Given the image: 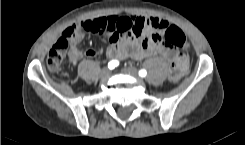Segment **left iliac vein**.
Instances as JSON below:
<instances>
[{
	"instance_id": "left-iliac-vein-1",
	"label": "left iliac vein",
	"mask_w": 245,
	"mask_h": 145,
	"mask_svg": "<svg viewBox=\"0 0 245 145\" xmlns=\"http://www.w3.org/2000/svg\"><path fill=\"white\" fill-rule=\"evenodd\" d=\"M122 71L125 73V74H128V75H131V76H134L136 77L137 74H138V71L135 67H132V66H128V67H124L122 69Z\"/></svg>"
}]
</instances>
